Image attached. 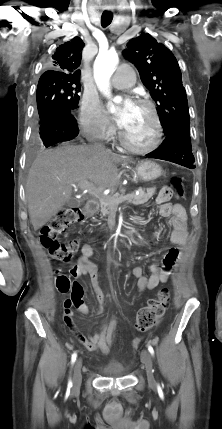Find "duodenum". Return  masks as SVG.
Here are the masks:
<instances>
[{"instance_id":"1","label":"duodenum","mask_w":222,"mask_h":429,"mask_svg":"<svg viewBox=\"0 0 222 429\" xmlns=\"http://www.w3.org/2000/svg\"><path fill=\"white\" fill-rule=\"evenodd\" d=\"M99 209V203L96 200H90L86 203L84 213L87 216L94 214Z\"/></svg>"}]
</instances>
